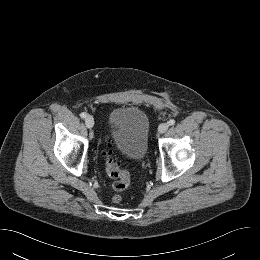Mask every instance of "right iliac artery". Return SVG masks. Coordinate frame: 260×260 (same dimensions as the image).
<instances>
[{"label": "right iliac artery", "mask_w": 260, "mask_h": 260, "mask_svg": "<svg viewBox=\"0 0 260 260\" xmlns=\"http://www.w3.org/2000/svg\"><path fill=\"white\" fill-rule=\"evenodd\" d=\"M80 116H81V118H86L87 114L83 112V113L80 114Z\"/></svg>", "instance_id": "obj_1"}]
</instances>
